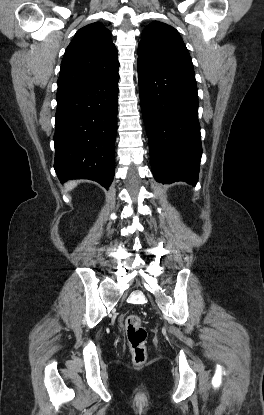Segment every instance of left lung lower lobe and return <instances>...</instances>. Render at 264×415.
<instances>
[{"label":"left lung lower lobe","mask_w":264,"mask_h":415,"mask_svg":"<svg viewBox=\"0 0 264 415\" xmlns=\"http://www.w3.org/2000/svg\"><path fill=\"white\" fill-rule=\"evenodd\" d=\"M140 103L154 178L196 184L202 155L194 75L137 61Z\"/></svg>","instance_id":"obj_1"}]
</instances>
